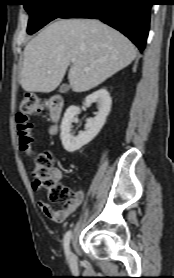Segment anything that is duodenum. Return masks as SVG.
Listing matches in <instances>:
<instances>
[{"mask_svg": "<svg viewBox=\"0 0 174 278\" xmlns=\"http://www.w3.org/2000/svg\"><path fill=\"white\" fill-rule=\"evenodd\" d=\"M48 108L50 119L56 124L60 120L64 108L63 98L60 95L51 96L48 101ZM55 130L56 127L53 126L51 128V132H54Z\"/></svg>", "mask_w": 174, "mask_h": 278, "instance_id": "duodenum-1", "label": "duodenum"}]
</instances>
